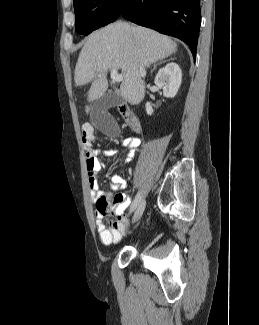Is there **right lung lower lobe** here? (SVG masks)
Segmentation results:
<instances>
[{
	"label": "right lung lower lobe",
	"mask_w": 259,
	"mask_h": 325,
	"mask_svg": "<svg viewBox=\"0 0 259 325\" xmlns=\"http://www.w3.org/2000/svg\"><path fill=\"white\" fill-rule=\"evenodd\" d=\"M120 17L181 39L196 57L201 0H126Z\"/></svg>",
	"instance_id": "obj_1"
}]
</instances>
